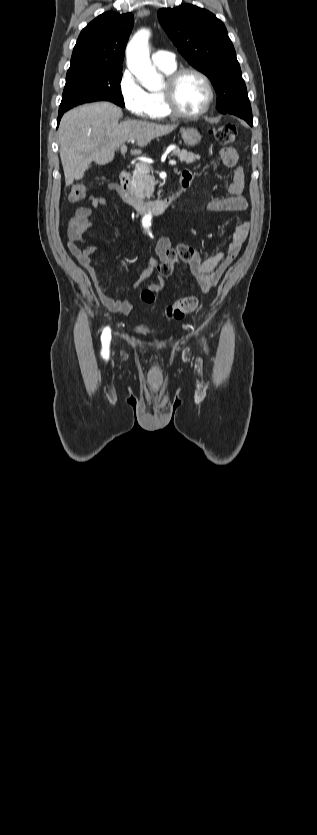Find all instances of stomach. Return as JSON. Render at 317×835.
I'll return each mask as SVG.
<instances>
[{"label":"stomach","instance_id":"stomach-1","mask_svg":"<svg viewBox=\"0 0 317 835\" xmlns=\"http://www.w3.org/2000/svg\"><path fill=\"white\" fill-rule=\"evenodd\" d=\"M181 135L184 143L189 146H196L201 141L199 131L192 127L182 128Z\"/></svg>","mask_w":317,"mask_h":835}]
</instances>
